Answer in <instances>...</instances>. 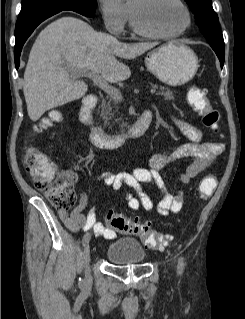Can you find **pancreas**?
Instances as JSON below:
<instances>
[{"label": "pancreas", "mask_w": 245, "mask_h": 319, "mask_svg": "<svg viewBox=\"0 0 245 319\" xmlns=\"http://www.w3.org/2000/svg\"><path fill=\"white\" fill-rule=\"evenodd\" d=\"M157 95L159 96H163L166 100H171L173 99V91H171L169 88L167 87H160V90L159 92L157 93ZM108 101H103L102 102V111H101V117L102 119L108 123V120L113 118L114 119V122H117L118 119H115V114L118 110L117 108V105H118V101L113 99V98H107ZM113 108H116L115 111L112 112V109ZM122 127V130H123V127L124 125H121Z\"/></svg>", "instance_id": "1"}]
</instances>
